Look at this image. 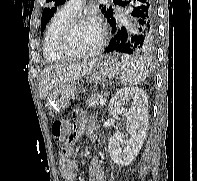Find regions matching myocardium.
I'll use <instances>...</instances> for the list:
<instances>
[{
	"label": "myocardium",
	"mask_w": 197,
	"mask_h": 181,
	"mask_svg": "<svg viewBox=\"0 0 197 181\" xmlns=\"http://www.w3.org/2000/svg\"><path fill=\"white\" fill-rule=\"evenodd\" d=\"M92 21L91 18H89L86 15H76L73 17L63 28L59 39H58V49L61 52V54L66 59H87L96 56L104 47L106 42V32L105 30L100 27V38L98 41V44L94 49L88 52H74L69 47V40L71 37V34L73 30L81 23Z\"/></svg>",
	"instance_id": "myocardium-1"
}]
</instances>
